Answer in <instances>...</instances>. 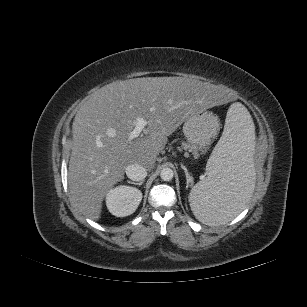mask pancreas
I'll list each match as a JSON object with an SVG mask.
<instances>
[{"instance_id":"1","label":"pancreas","mask_w":307,"mask_h":307,"mask_svg":"<svg viewBox=\"0 0 307 307\" xmlns=\"http://www.w3.org/2000/svg\"><path fill=\"white\" fill-rule=\"evenodd\" d=\"M182 147L184 149H188V148L190 149V146L188 144L184 143V142H182Z\"/></svg>"}]
</instances>
